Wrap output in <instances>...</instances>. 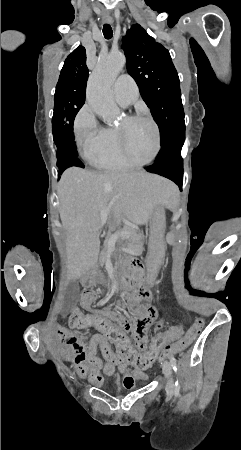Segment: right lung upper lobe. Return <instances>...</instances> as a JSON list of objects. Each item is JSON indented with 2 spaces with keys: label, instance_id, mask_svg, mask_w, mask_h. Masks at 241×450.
<instances>
[{
  "label": "right lung upper lobe",
  "instance_id": "1",
  "mask_svg": "<svg viewBox=\"0 0 241 450\" xmlns=\"http://www.w3.org/2000/svg\"><path fill=\"white\" fill-rule=\"evenodd\" d=\"M85 62V48L83 46H79L66 58L59 76L58 83H86L88 79V68Z\"/></svg>",
  "mask_w": 241,
  "mask_h": 450
}]
</instances>
